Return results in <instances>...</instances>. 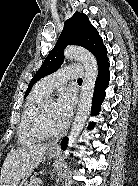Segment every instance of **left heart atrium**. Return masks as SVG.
Returning a JSON list of instances; mask_svg holds the SVG:
<instances>
[{
  "mask_svg": "<svg viewBox=\"0 0 138 186\" xmlns=\"http://www.w3.org/2000/svg\"><path fill=\"white\" fill-rule=\"evenodd\" d=\"M74 106V99L71 93L65 92L60 97L57 108L60 118L65 125L72 116Z\"/></svg>",
  "mask_w": 138,
  "mask_h": 186,
  "instance_id": "left-heart-atrium-1",
  "label": "left heart atrium"
}]
</instances>
